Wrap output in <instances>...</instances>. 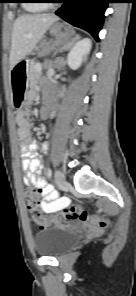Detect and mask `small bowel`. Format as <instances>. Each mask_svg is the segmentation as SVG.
<instances>
[{
    "instance_id": "1",
    "label": "small bowel",
    "mask_w": 136,
    "mask_h": 296,
    "mask_svg": "<svg viewBox=\"0 0 136 296\" xmlns=\"http://www.w3.org/2000/svg\"><path fill=\"white\" fill-rule=\"evenodd\" d=\"M47 85L46 82H44ZM35 98V93L30 91L28 102ZM30 111L27 108L21 109L16 114L18 125V138L22 155L23 181L26 185L35 186L44 196L41 203V210L45 213L55 212L69 203L67 198H59L57 191L45 181L43 177V166L41 159L37 156V143L31 136Z\"/></svg>"
}]
</instances>
